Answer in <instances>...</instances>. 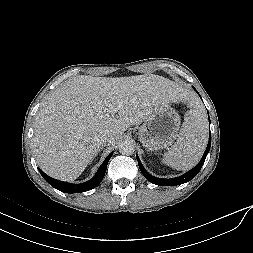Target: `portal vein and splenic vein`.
<instances>
[{"mask_svg": "<svg viewBox=\"0 0 253 253\" xmlns=\"http://www.w3.org/2000/svg\"><path fill=\"white\" fill-rule=\"evenodd\" d=\"M122 105V102H119L118 105L110 110L111 114H115L119 111L120 107Z\"/></svg>", "mask_w": 253, "mask_h": 253, "instance_id": "1", "label": "portal vein and splenic vein"}]
</instances>
